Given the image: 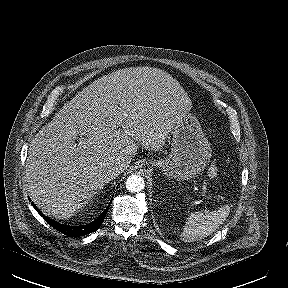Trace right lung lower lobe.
I'll return each instance as SVG.
<instances>
[{"label":"right lung lower lobe","mask_w":288,"mask_h":288,"mask_svg":"<svg viewBox=\"0 0 288 288\" xmlns=\"http://www.w3.org/2000/svg\"><path fill=\"white\" fill-rule=\"evenodd\" d=\"M32 205L37 210V207L34 205V203H32ZM109 206H110V203L107 206V208L104 210V212L93 222L86 224V225L74 226V227L57 223L51 220L50 218L46 217L39 210H38V213L47 221V223H49L56 230L70 237H79V236H83V235L95 232L100 227V225L104 221V218L107 214Z\"/></svg>","instance_id":"obj_1"}]
</instances>
